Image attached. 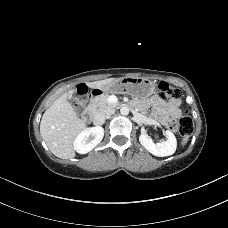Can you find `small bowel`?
Here are the masks:
<instances>
[{
	"instance_id": "1",
	"label": "small bowel",
	"mask_w": 228,
	"mask_h": 228,
	"mask_svg": "<svg viewBox=\"0 0 228 228\" xmlns=\"http://www.w3.org/2000/svg\"><path fill=\"white\" fill-rule=\"evenodd\" d=\"M150 103L154 105L155 110L158 112L159 119L166 125L170 122L168 114L174 117L180 114V102L178 100L163 102L157 97H152ZM134 105L141 106V103L135 101Z\"/></svg>"
}]
</instances>
